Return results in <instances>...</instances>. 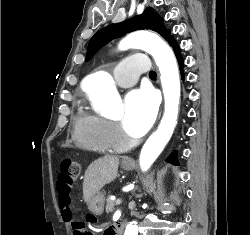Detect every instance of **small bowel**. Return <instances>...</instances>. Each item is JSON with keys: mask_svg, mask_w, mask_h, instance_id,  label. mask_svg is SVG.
Listing matches in <instances>:
<instances>
[{"mask_svg": "<svg viewBox=\"0 0 250 235\" xmlns=\"http://www.w3.org/2000/svg\"><path fill=\"white\" fill-rule=\"evenodd\" d=\"M58 193V206L60 209L61 216L69 222V219L71 218V191L65 192L61 189L57 188Z\"/></svg>", "mask_w": 250, "mask_h": 235, "instance_id": "c3829d8e", "label": "small bowel"}]
</instances>
